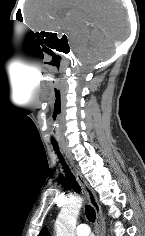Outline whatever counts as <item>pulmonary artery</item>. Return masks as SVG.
Masks as SVG:
<instances>
[{"mask_svg":"<svg viewBox=\"0 0 145 236\" xmlns=\"http://www.w3.org/2000/svg\"><path fill=\"white\" fill-rule=\"evenodd\" d=\"M90 232V228L87 224H79L76 227V235L77 236H88Z\"/></svg>","mask_w":145,"mask_h":236,"instance_id":"1","label":"pulmonary artery"}]
</instances>
